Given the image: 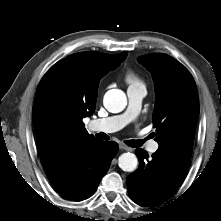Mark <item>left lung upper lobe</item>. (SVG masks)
<instances>
[{
	"mask_svg": "<svg viewBox=\"0 0 221 221\" xmlns=\"http://www.w3.org/2000/svg\"><path fill=\"white\" fill-rule=\"evenodd\" d=\"M154 78L153 124L159 149L190 158L199 115V98L190 72L167 54L139 57Z\"/></svg>",
	"mask_w": 221,
	"mask_h": 221,
	"instance_id": "obj_1",
	"label": "left lung upper lobe"
}]
</instances>
